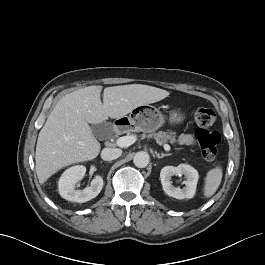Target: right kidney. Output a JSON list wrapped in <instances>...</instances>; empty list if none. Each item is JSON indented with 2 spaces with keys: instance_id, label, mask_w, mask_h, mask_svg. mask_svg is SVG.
I'll return each mask as SVG.
<instances>
[{
  "instance_id": "ca27d5eb",
  "label": "right kidney",
  "mask_w": 265,
  "mask_h": 265,
  "mask_svg": "<svg viewBox=\"0 0 265 265\" xmlns=\"http://www.w3.org/2000/svg\"><path fill=\"white\" fill-rule=\"evenodd\" d=\"M86 173V167L77 165L68 168L60 177L58 182L59 193L62 198L68 201L78 203L87 202L95 198L103 187V179L101 176L96 175L91 181L90 186L83 190H77L75 184L81 180Z\"/></svg>"
}]
</instances>
